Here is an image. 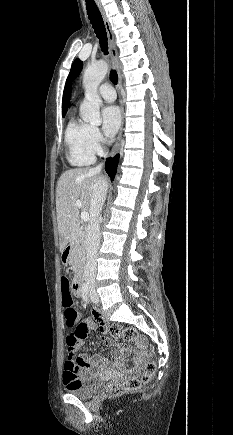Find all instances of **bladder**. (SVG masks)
Masks as SVG:
<instances>
[{
    "label": "bladder",
    "mask_w": 233,
    "mask_h": 435,
    "mask_svg": "<svg viewBox=\"0 0 233 435\" xmlns=\"http://www.w3.org/2000/svg\"><path fill=\"white\" fill-rule=\"evenodd\" d=\"M100 388L101 385L99 383L92 381L71 389L69 394L75 395L79 398H88L97 393Z\"/></svg>",
    "instance_id": "31cf9c89"
}]
</instances>
